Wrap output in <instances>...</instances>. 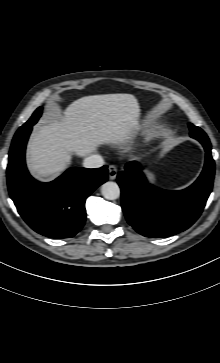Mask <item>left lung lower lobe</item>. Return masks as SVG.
I'll return each mask as SVG.
<instances>
[{
	"mask_svg": "<svg viewBox=\"0 0 220 363\" xmlns=\"http://www.w3.org/2000/svg\"><path fill=\"white\" fill-rule=\"evenodd\" d=\"M192 137V136H191ZM197 139L206 151L204 169L188 188L165 191L147 183L136 163L118 173L122 208L128 223L146 237H167L189 228L200 216L212 191L215 164L207 138Z\"/></svg>",
	"mask_w": 220,
	"mask_h": 363,
	"instance_id": "left-lung-lower-lobe-1",
	"label": "left lung lower lobe"
}]
</instances>
